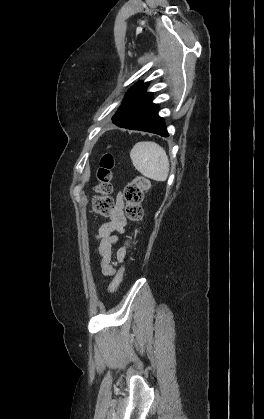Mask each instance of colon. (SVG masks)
<instances>
[{"instance_id":"colon-1","label":"colon","mask_w":264,"mask_h":419,"mask_svg":"<svg viewBox=\"0 0 264 419\" xmlns=\"http://www.w3.org/2000/svg\"><path fill=\"white\" fill-rule=\"evenodd\" d=\"M115 167V160L111 154H105L100 161L96 179V192L97 195L93 201L94 211L100 215H109L113 208L114 203L110 194L112 192V170ZM150 187L149 180L143 176L136 177L133 181L128 183L124 188V199L126 202L125 213L126 216L134 222L140 221L143 215L142 201L145 191ZM126 247L130 248L133 245V237L128 235L125 240ZM124 273V266H122L115 277L113 278L109 291L115 292L121 284Z\"/></svg>"}]
</instances>
